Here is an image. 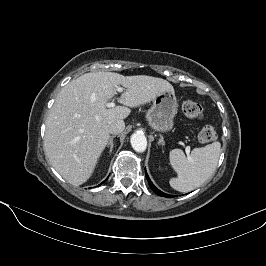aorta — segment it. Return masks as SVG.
<instances>
[{
    "instance_id": "aorta-1",
    "label": "aorta",
    "mask_w": 266,
    "mask_h": 266,
    "mask_svg": "<svg viewBox=\"0 0 266 266\" xmlns=\"http://www.w3.org/2000/svg\"><path fill=\"white\" fill-rule=\"evenodd\" d=\"M131 145L136 152H144L147 147V139L141 133H134L130 139Z\"/></svg>"
}]
</instances>
